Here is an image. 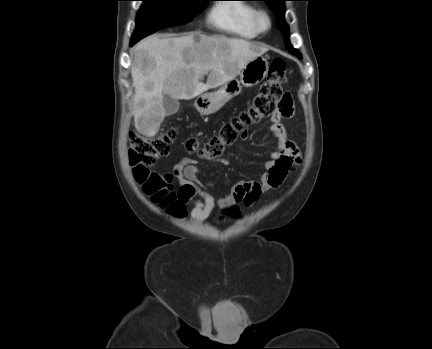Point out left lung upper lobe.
Masks as SVG:
<instances>
[{"label":"left lung upper lobe","mask_w":432,"mask_h":349,"mask_svg":"<svg viewBox=\"0 0 432 349\" xmlns=\"http://www.w3.org/2000/svg\"><path fill=\"white\" fill-rule=\"evenodd\" d=\"M261 1H265L269 7L271 8V10L275 13L276 19H277V23L279 25V28L282 32V34L284 35V40H285V44L287 49L294 55H296L298 58H301V53L292 47V45L289 42V36L287 35L288 32V25L285 22L284 19V1L286 0H261Z\"/></svg>","instance_id":"obj_1"}]
</instances>
